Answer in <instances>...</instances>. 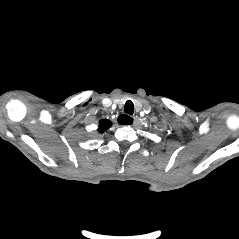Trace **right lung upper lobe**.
<instances>
[{
  "label": "right lung upper lobe",
  "instance_id": "right-lung-upper-lobe-1",
  "mask_svg": "<svg viewBox=\"0 0 239 239\" xmlns=\"http://www.w3.org/2000/svg\"><path fill=\"white\" fill-rule=\"evenodd\" d=\"M99 125V131L104 132L110 126V121L101 120Z\"/></svg>",
  "mask_w": 239,
  "mask_h": 239
}]
</instances>
